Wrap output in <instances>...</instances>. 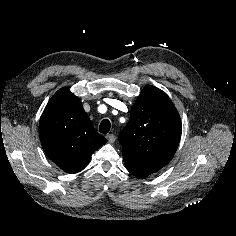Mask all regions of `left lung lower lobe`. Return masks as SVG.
Returning <instances> with one entry per match:
<instances>
[{
  "label": "left lung lower lobe",
  "mask_w": 236,
  "mask_h": 236,
  "mask_svg": "<svg viewBox=\"0 0 236 236\" xmlns=\"http://www.w3.org/2000/svg\"><path fill=\"white\" fill-rule=\"evenodd\" d=\"M123 159L127 170L138 178H145L162 168V166L144 162L129 155L123 154Z\"/></svg>",
  "instance_id": "obj_1"
}]
</instances>
